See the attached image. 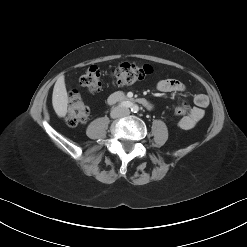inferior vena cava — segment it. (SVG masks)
<instances>
[{
    "label": "inferior vena cava",
    "mask_w": 247,
    "mask_h": 247,
    "mask_svg": "<svg viewBox=\"0 0 247 247\" xmlns=\"http://www.w3.org/2000/svg\"><path fill=\"white\" fill-rule=\"evenodd\" d=\"M120 110H121V113H120L121 116H127L130 114L129 109L127 108H122Z\"/></svg>",
    "instance_id": "inferior-vena-cava-1"
}]
</instances>
